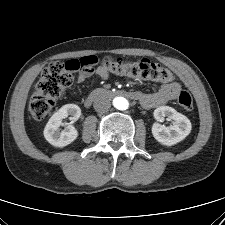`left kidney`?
<instances>
[{
  "label": "left kidney",
  "instance_id": "5707ae66",
  "mask_svg": "<svg viewBox=\"0 0 225 225\" xmlns=\"http://www.w3.org/2000/svg\"><path fill=\"white\" fill-rule=\"evenodd\" d=\"M154 117L157 121L164 120L167 117L173 120V125L166 127L159 123L152 126V134L154 138L163 145L172 146L185 139L191 132V122L183 114L177 112L169 106H160L154 110Z\"/></svg>",
  "mask_w": 225,
  "mask_h": 225
}]
</instances>
